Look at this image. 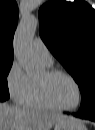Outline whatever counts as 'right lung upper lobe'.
<instances>
[{"instance_id": "1", "label": "right lung upper lobe", "mask_w": 95, "mask_h": 130, "mask_svg": "<svg viewBox=\"0 0 95 130\" xmlns=\"http://www.w3.org/2000/svg\"><path fill=\"white\" fill-rule=\"evenodd\" d=\"M18 22L14 0H0V61H13V36Z\"/></svg>"}]
</instances>
